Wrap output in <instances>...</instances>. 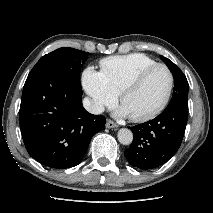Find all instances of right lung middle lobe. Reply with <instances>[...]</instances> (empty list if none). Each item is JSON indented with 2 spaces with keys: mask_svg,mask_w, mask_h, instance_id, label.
Wrapping results in <instances>:
<instances>
[{
  "mask_svg": "<svg viewBox=\"0 0 213 213\" xmlns=\"http://www.w3.org/2000/svg\"><path fill=\"white\" fill-rule=\"evenodd\" d=\"M89 53L74 48L63 47L44 55L28 76L39 73H55L81 89L80 69Z\"/></svg>",
  "mask_w": 213,
  "mask_h": 213,
  "instance_id": "right-lung-middle-lobe-1",
  "label": "right lung middle lobe"
}]
</instances>
